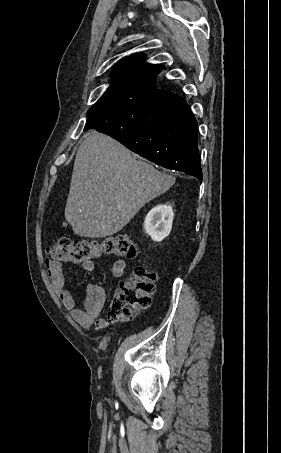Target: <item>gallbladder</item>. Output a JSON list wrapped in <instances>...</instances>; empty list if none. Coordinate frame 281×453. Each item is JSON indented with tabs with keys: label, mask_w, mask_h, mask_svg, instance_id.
I'll return each instance as SVG.
<instances>
[{
	"label": "gallbladder",
	"mask_w": 281,
	"mask_h": 453,
	"mask_svg": "<svg viewBox=\"0 0 281 453\" xmlns=\"http://www.w3.org/2000/svg\"><path fill=\"white\" fill-rule=\"evenodd\" d=\"M65 225L68 227L70 224L67 222Z\"/></svg>",
	"instance_id": "gallbladder-1"
}]
</instances>
